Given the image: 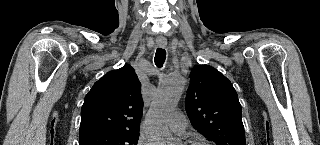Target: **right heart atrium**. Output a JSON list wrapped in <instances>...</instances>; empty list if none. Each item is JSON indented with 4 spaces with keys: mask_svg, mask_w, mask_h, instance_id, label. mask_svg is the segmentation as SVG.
Returning <instances> with one entry per match:
<instances>
[{
    "mask_svg": "<svg viewBox=\"0 0 320 145\" xmlns=\"http://www.w3.org/2000/svg\"><path fill=\"white\" fill-rule=\"evenodd\" d=\"M137 145H151L147 138L141 135L137 141Z\"/></svg>",
    "mask_w": 320,
    "mask_h": 145,
    "instance_id": "1",
    "label": "right heart atrium"
}]
</instances>
